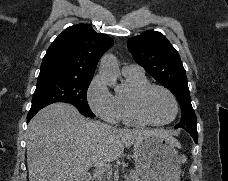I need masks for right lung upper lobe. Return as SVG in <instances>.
Returning a JSON list of instances; mask_svg holds the SVG:
<instances>
[{
	"instance_id": "obj_1",
	"label": "right lung upper lobe",
	"mask_w": 228,
	"mask_h": 181,
	"mask_svg": "<svg viewBox=\"0 0 228 181\" xmlns=\"http://www.w3.org/2000/svg\"><path fill=\"white\" fill-rule=\"evenodd\" d=\"M112 44L111 37L96 33L89 25L70 26L48 48L39 77L92 79L99 59Z\"/></svg>"
}]
</instances>
